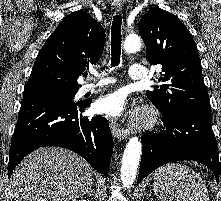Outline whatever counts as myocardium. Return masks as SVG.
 I'll return each mask as SVG.
<instances>
[{
	"instance_id": "f54148a6",
	"label": "myocardium",
	"mask_w": 221,
	"mask_h": 201,
	"mask_svg": "<svg viewBox=\"0 0 221 201\" xmlns=\"http://www.w3.org/2000/svg\"><path fill=\"white\" fill-rule=\"evenodd\" d=\"M160 118L158 109L153 105H147L135 120V126L142 129H150L160 122Z\"/></svg>"
}]
</instances>
